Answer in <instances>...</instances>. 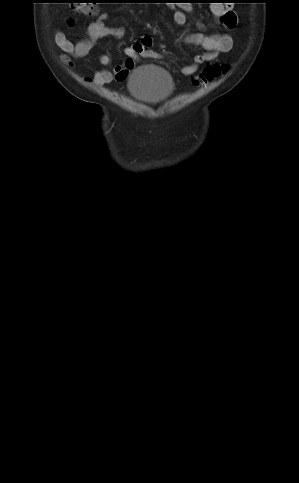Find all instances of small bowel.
<instances>
[{
    "instance_id": "small-bowel-1",
    "label": "small bowel",
    "mask_w": 299,
    "mask_h": 483,
    "mask_svg": "<svg viewBox=\"0 0 299 483\" xmlns=\"http://www.w3.org/2000/svg\"><path fill=\"white\" fill-rule=\"evenodd\" d=\"M221 2L217 1L211 6L213 16L222 24L225 29L232 30L237 24V16L233 11L227 10ZM173 19L177 25H184L186 23V13L190 8L188 6H172ZM108 16L101 14L99 18L93 21L88 27V37L78 43H73L69 40L66 34L62 31H56L54 40L57 46L64 52L62 59L67 64L71 65V57L82 58L88 54L93 46L102 38L114 37L117 39L125 35V28L122 26H110L106 24ZM68 24L72 26L74 20L70 18ZM187 43L200 45L205 49V53L198 54L194 58V62L181 69L183 75H193L196 73L198 67L215 59L221 53L231 51L233 47V39L228 34H211L207 35L201 32H193L186 36ZM152 38L150 36H142L138 41L127 46L124 49L126 60L111 69H101L96 71L92 76H86L84 79L87 83L94 86H102L111 83L112 81L124 82L135 63L140 58H157L158 54L151 51ZM100 64L108 66L112 59L108 55L99 57Z\"/></svg>"
}]
</instances>
